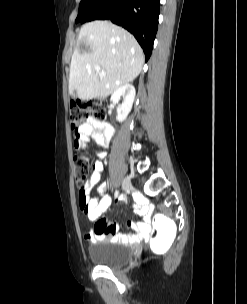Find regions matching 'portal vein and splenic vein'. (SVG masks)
<instances>
[{
	"label": "portal vein and splenic vein",
	"mask_w": 247,
	"mask_h": 304,
	"mask_svg": "<svg viewBox=\"0 0 247 304\" xmlns=\"http://www.w3.org/2000/svg\"><path fill=\"white\" fill-rule=\"evenodd\" d=\"M94 69L99 73L100 77H105L106 73L104 71H101L99 66H95Z\"/></svg>",
	"instance_id": "1"
}]
</instances>
